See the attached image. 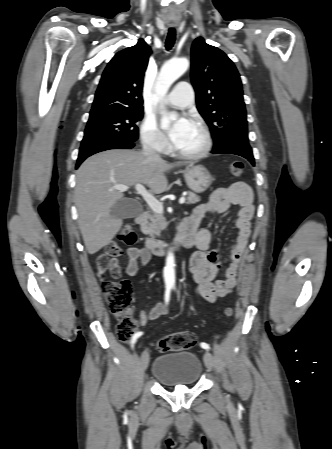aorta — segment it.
<instances>
[{
  "instance_id": "aorta-1",
  "label": "aorta",
  "mask_w": 332,
  "mask_h": 449,
  "mask_svg": "<svg viewBox=\"0 0 332 449\" xmlns=\"http://www.w3.org/2000/svg\"><path fill=\"white\" fill-rule=\"evenodd\" d=\"M188 67L189 61L186 58L172 59L163 65L156 82V93L159 99L165 97L170 86L188 69ZM163 277L167 285L174 286L175 259L174 254L171 251L166 257Z\"/></svg>"
}]
</instances>
